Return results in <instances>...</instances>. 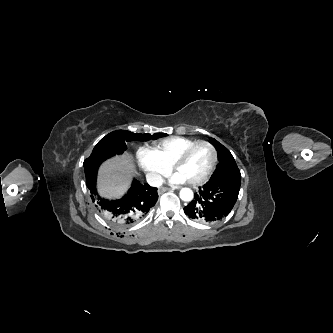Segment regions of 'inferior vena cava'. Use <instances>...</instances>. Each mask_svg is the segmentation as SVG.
<instances>
[{"mask_svg":"<svg viewBox=\"0 0 333 333\" xmlns=\"http://www.w3.org/2000/svg\"><path fill=\"white\" fill-rule=\"evenodd\" d=\"M146 179L152 187H160L163 184V178L159 174L149 173L146 175Z\"/></svg>","mask_w":333,"mask_h":333,"instance_id":"inferior-vena-cava-1","label":"inferior vena cava"}]
</instances>
